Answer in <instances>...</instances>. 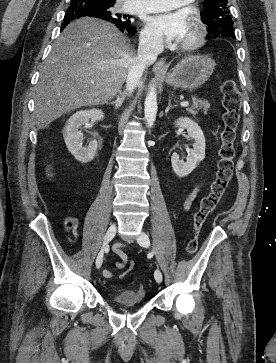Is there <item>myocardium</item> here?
Returning a JSON list of instances; mask_svg holds the SVG:
<instances>
[{
    "label": "myocardium",
    "mask_w": 276,
    "mask_h": 363,
    "mask_svg": "<svg viewBox=\"0 0 276 363\" xmlns=\"http://www.w3.org/2000/svg\"><path fill=\"white\" fill-rule=\"evenodd\" d=\"M191 24L194 27L193 37L178 45V47L183 51H194L201 47L205 41L206 27L201 18L195 13L191 14Z\"/></svg>",
    "instance_id": "f54148a6"
}]
</instances>
